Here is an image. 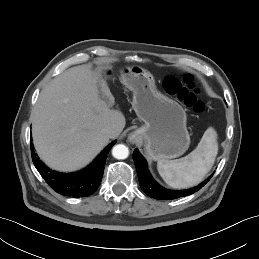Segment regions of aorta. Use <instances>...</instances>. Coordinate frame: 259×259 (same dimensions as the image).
<instances>
[{
	"instance_id": "762f6f07",
	"label": "aorta",
	"mask_w": 259,
	"mask_h": 259,
	"mask_svg": "<svg viewBox=\"0 0 259 259\" xmlns=\"http://www.w3.org/2000/svg\"><path fill=\"white\" fill-rule=\"evenodd\" d=\"M112 155L116 159H126L129 155V149L123 144H118L113 147Z\"/></svg>"
}]
</instances>
